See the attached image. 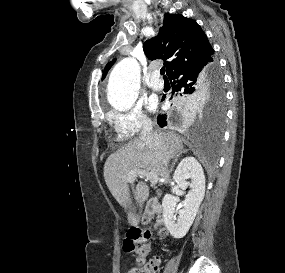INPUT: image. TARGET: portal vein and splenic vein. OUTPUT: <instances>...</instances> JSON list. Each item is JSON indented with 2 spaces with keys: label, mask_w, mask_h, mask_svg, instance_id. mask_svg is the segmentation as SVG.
I'll return each instance as SVG.
<instances>
[{
  "label": "portal vein and splenic vein",
  "mask_w": 285,
  "mask_h": 273,
  "mask_svg": "<svg viewBox=\"0 0 285 273\" xmlns=\"http://www.w3.org/2000/svg\"><path fill=\"white\" fill-rule=\"evenodd\" d=\"M136 177H141V178H147L148 180H150V182L152 184H156L159 181L158 175L155 172H148L146 170H142V169H133L129 172L127 181L129 183L134 182Z\"/></svg>",
  "instance_id": "obj_1"
}]
</instances>
